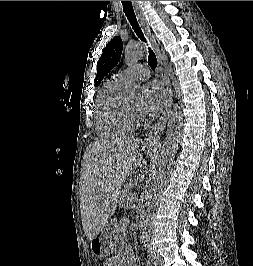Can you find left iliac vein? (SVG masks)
<instances>
[{"mask_svg": "<svg viewBox=\"0 0 253 266\" xmlns=\"http://www.w3.org/2000/svg\"><path fill=\"white\" fill-rule=\"evenodd\" d=\"M157 259H158L159 266H161V258L158 255H157Z\"/></svg>", "mask_w": 253, "mask_h": 266, "instance_id": "4c4485c4", "label": "left iliac vein"}]
</instances>
